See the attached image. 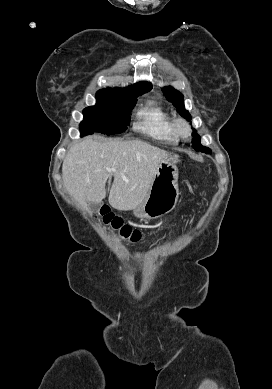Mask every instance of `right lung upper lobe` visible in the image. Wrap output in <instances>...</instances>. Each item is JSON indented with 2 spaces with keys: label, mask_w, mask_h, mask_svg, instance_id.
Masks as SVG:
<instances>
[{
  "label": "right lung upper lobe",
  "mask_w": 272,
  "mask_h": 389,
  "mask_svg": "<svg viewBox=\"0 0 272 389\" xmlns=\"http://www.w3.org/2000/svg\"><path fill=\"white\" fill-rule=\"evenodd\" d=\"M152 88L151 83L149 82H139L134 84L133 86H129L127 88H107V89H101L99 91H105V92H115L127 96H133V95H139L143 94L147 91H149Z\"/></svg>",
  "instance_id": "obj_1"
}]
</instances>
